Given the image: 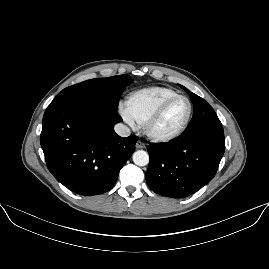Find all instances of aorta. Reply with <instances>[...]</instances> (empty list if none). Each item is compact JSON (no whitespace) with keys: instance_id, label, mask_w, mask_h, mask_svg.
Here are the masks:
<instances>
[{"instance_id":"aorta-1","label":"aorta","mask_w":269,"mask_h":269,"mask_svg":"<svg viewBox=\"0 0 269 269\" xmlns=\"http://www.w3.org/2000/svg\"><path fill=\"white\" fill-rule=\"evenodd\" d=\"M149 160V155L145 151L139 150L133 154V161L137 166H147L149 164Z\"/></svg>"}]
</instances>
